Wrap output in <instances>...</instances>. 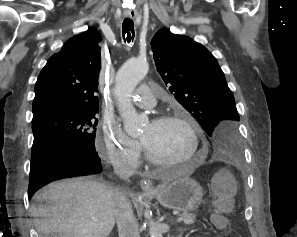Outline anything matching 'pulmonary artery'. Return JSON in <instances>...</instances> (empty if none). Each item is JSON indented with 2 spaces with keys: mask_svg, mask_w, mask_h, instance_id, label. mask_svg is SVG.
I'll list each match as a JSON object with an SVG mask.
<instances>
[{
  "mask_svg": "<svg viewBox=\"0 0 297 237\" xmlns=\"http://www.w3.org/2000/svg\"><path fill=\"white\" fill-rule=\"evenodd\" d=\"M157 94L151 85L143 84L136 90L132 101L141 107H152L156 102Z\"/></svg>",
  "mask_w": 297,
  "mask_h": 237,
  "instance_id": "e3ab8cb5",
  "label": "pulmonary artery"
}]
</instances>
